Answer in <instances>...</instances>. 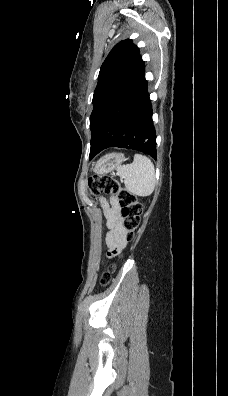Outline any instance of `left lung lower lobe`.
I'll return each instance as SVG.
<instances>
[{"label": "left lung lower lobe", "mask_w": 228, "mask_h": 396, "mask_svg": "<svg viewBox=\"0 0 228 396\" xmlns=\"http://www.w3.org/2000/svg\"><path fill=\"white\" fill-rule=\"evenodd\" d=\"M121 103L126 105L120 108ZM95 139L97 154L108 147H120L138 150L156 159L152 105L144 73L108 109Z\"/></svg>", "instance_id": "obj_1"}]
</instances>
